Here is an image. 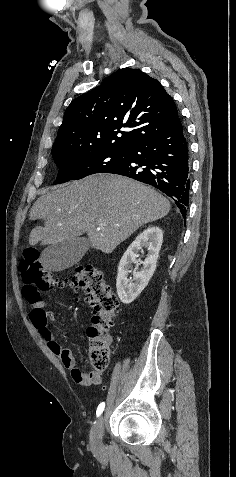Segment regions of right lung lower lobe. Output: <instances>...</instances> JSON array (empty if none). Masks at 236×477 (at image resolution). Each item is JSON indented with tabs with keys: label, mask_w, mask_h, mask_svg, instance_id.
Listing matches in <instances>:
<instances>
[{
	"label": "right lung lower lobe",
	"mask_w": 236,
	"mask_h": 477,
	"mask_svg": "<svg viewBox=\"0 0 236 477\" xmlns=\"http://www.w3.org/2000/svg\"><path fill=\"white\" fill-rule=\"evenodd\" d=\"M124 164L107 173L133 178L154 186L172 198L186 218L190 190L188 139L178 119L175 125L155 137L130 146Z\"/></svg>",
	"instance_id": "right-lung-lower-lobe-1"
}]
</instances>
